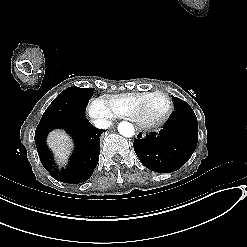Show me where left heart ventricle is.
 Wrapping results in <instances>:
<instances>
[{"mask_svg":"<svg viewBox=\"0 0 247 247\" xmlns=\"http://www.w3.org/2000/svg\"><path fill=\"white\" fill-rule=\"evenodd\" d=\"M163 104H164V99L162 97H155L150 102L149 109L152 113H156L162 107Z\"/></svg>","mask_w":247,"mask_h":247,"instance_id":"b2bd125f","label":"left heart ventricle"}]
</instances>
